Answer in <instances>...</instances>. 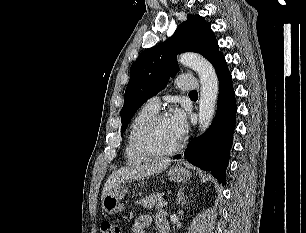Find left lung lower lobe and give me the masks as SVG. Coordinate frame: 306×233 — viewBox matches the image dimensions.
Masks as SVG:
<instances>
[{
    "label": "left lung lower lobe",
    "mask_w": 306,
    "mask_h": 233,
    "mask_svg": "<svg viewBox=\"0 0 306 233\" xmlns=\"http://www.w3.org/2000/svg\"><path fill=\"white\" fill-rule=\"evenodd\" d=\"M212 64L219 78L216 117L208 132L190 142L184 156L191 164L210 171L224 184L235 129L236 102L224 56L221 54ZM175 158L180 159L181 156Z\"/></svg>",
    "instance_id": "1"
}]
</instances>
